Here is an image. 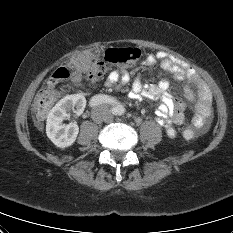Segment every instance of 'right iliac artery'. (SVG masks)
<instances>
[{"instance_id":"1","label":"right iliac artery","mask_w":233,"mask_h":233,"mask_svg":"<svg viewBox=\"0 0 233 233\" xmlns=\"http://www.w3.org/2000/svg\"><path fill=\"white\" fill-rule=\"evenodd\" d=\"M116 100H114L112 97L108 96V95H103V94H99V95H95L91 98L90 102H89V106L90 107H96L100 104H115Z\"/></svg>"}]
</instances>
